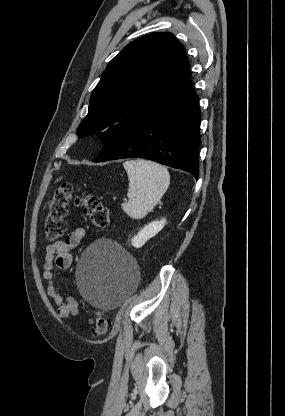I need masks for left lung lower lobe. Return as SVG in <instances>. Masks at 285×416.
<instances>
[{
	"mask_svg": "<svg viewBox=\"0 0 285 416\" xmlns=\"http://www.w3.org/2000/svg\"><path fill=\"white\" fill-rule=\"evenodd\" d=\"M199 98L191 84L113 137L94 162L145 158L199 174Z\"/></svg>",
	"mask_w": 285,
	"mask_h": 416,
	"instance_id": "obj_1",
	"label": "left lung lower lobe"
}]
</instances>
